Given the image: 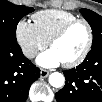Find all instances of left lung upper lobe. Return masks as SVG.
<instances>
[{"label": "left lung upper lobe", "instance_id": "5c2ea615", "mask_svg": "<svg viewBox=\"0 0 102 102\" xmlns=\"http://www.w3.org/2000/svg\"><path fill=\"white\" fill-rule=\"evenodd\" d=\"M81 14L90 24L93 31V44L92 48L102 46V17L95 12L88 9H81Z\"/></svg>", "mask_w": 102, "mask_h": 102}]
</instances>
